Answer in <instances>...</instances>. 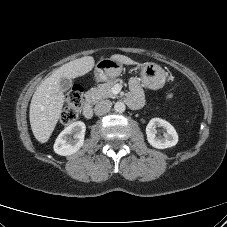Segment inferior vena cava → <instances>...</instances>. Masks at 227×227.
<instances>
[{
	"mask_svg": "<svg viewBox=\"0 0 227 227\" xmlns=\"http://www.w3.org/2000/svg\"><path fill=\"white\" fill-rule=\"evenodd\" d=\"M111 106H112V102L109 100L100 101L95 105L94 112L98 116L106 114L107 112L110 111Z\"/></svg>",
	"mask_w": 227,
	"mask_h": 227,
	"instance_id": "1",
	"label": "inferior vena cava"
}]
</instances>
